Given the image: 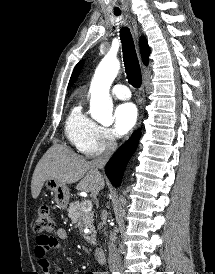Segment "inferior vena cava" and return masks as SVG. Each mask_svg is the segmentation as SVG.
<instances>
[{"label":"inferior vena cava","mask_w":215,"mask_h":274,"mask_svg":"<svg viewBox=\"0 0 215 274\" xmlns=\"http://www.w3.org/2000/svg\"><path fill=\"white\" fill-rule=\"evenodd\" d=\"M117 143L114 137H111L106 146V150L103 155L95 158L92 160L91 165L98 171V169L104 168L107 161L111 157L112 153L116 150ZM105 223V220H104ZM108 250H109V256H108V264L109 268L112 271H119L122 269L121 259L119 256V253L115 247V245L112 242H108Z\"/></svg>","instance_id":"602c4592"}]
</instances>
